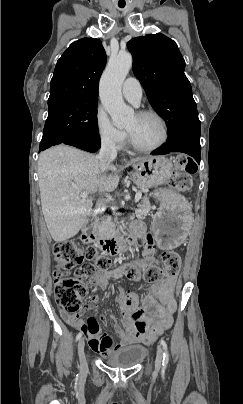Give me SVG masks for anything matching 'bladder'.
<instances>
[{"label": "bladder", "instance_id": "1", "mask_svg": "<svg viewBox=\"0 0 243 404\" xmlns=\"http://www.w3.org/2000/svg\"><path fill=\"white\" fill-rule=\"evenodd\" d=\"M147 356V349L141 344H130L113 350L105 357L111 368L130 369L140 364Z\"/></svg>", "mask_w": 243, "mask_h": 404}]
</instances>
